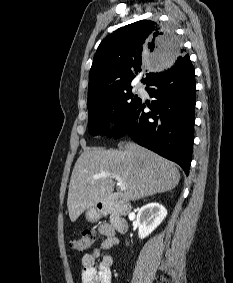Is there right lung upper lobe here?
<instances>
[{
    "label": "right lung upper lobe",
    "mask_w": 233,
    "mask_h": 283,
    "mask_svg": "<svg viewBox=\"0 0 233 283\" xmlns=\"http://www.w3.org/2000/svg\"><path fill=\"white\" fill-rule=\"evenodd\" d=\"M189 54L174 32L157 22L140 20L117 29L102 40L94 56L89 73L88 107L130 88L138 73L145 75L142 82L147 84Z\"/></svg>",
    "instance_id": "right-lung-upper-lobe-1"
}]
</instances>
